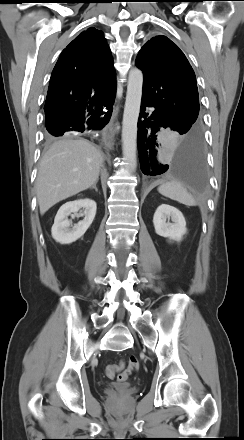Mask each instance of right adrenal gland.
<instances>
[{"instance_id": "2a0ac1e0", "label": "right adrenal gland", "mask_w": 244, "mask_h": 440, "mask_svg": "<svg viewBox=\"0 0 244 440\" xmlns=\"http://www.w3.org/2000/svg\"><path fill=\"white\" fill-rule=\"evenodd\" d=\"M96 184H97V182L94 183V184L92 185L91 189H95V191L98 192V189H97V187H96Z\"/></svg>"}]
</instances>
